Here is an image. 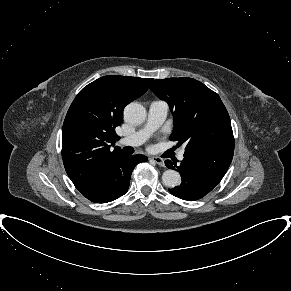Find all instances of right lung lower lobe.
<instances>
[{
  "label": "right lung lower lobe",
  "instance_id": "1",
  "mask_svg": "<svg viewBox=\"0 0 291 291\" xmlns=\"http://www.w3.org/2000/svg\"><path fill=\"white\" fill-rule=\"evenodd\" d=\"M146 161L147 157L144 155H129L124 152L115 155L79 191L92 202H111L128 191L135 165Z\"/></svg>",
  "mask_w": 291,
  "mask_h": 291
}]
</instances>
